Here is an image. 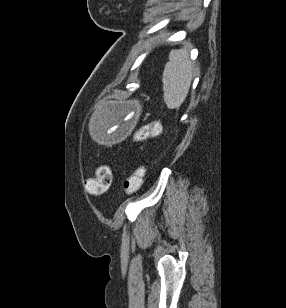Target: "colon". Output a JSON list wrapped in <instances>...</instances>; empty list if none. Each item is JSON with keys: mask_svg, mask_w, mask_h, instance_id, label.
Segmentation results:
<instances>
[{"mask_svg": "<svg viewBox=\"0 0 286 308\" xmlns=\"http://www.w3.org/2000/svg\"><path fill=\"white\" fill-rule=\"evenodd\" d=\"M160 132V124L158 122H152L148 125L141 127L133 134L135 141H142L151 136L157 135ZM146 168L143 165L138 166L129 176L124 180L123 191L127 195H131L139 190L141 187ZM112 182V170L108 165H101L97 169L96 176L89 178L85 181V188L90 193H104L106 192Z\"/></svg>", "mask_w": 286, "mask_h": 308, "instance_id": "obj_1", "label": "colon"}]
</instances>
